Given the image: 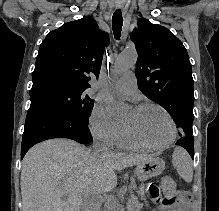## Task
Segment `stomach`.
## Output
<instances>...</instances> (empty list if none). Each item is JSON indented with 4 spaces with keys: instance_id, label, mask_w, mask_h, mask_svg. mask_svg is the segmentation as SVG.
Here are the masks:
<instances>
[{
    "instance_id": "0dacf381",
    "label": "stomach",
    "mask_w": 219,
    "mask_h": 211,
    "mask_svg": "<svg viewBox=\"0 0 219 211\" xmlns=\"http://www.w3.org/2000/svg\"><path fill=\"white\" fill-rule=\"evenodd\" d=\"M165 168V162L159 157H151L140 163L135 168V175L139 181L144 182L152 177L160 175Z\"/></svg>"
}]
</instances>
